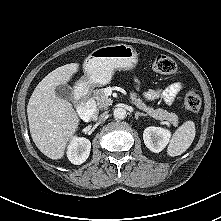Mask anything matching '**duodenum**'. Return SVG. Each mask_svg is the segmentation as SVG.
Listing matches in <instances>:
<instances>
[{
	"label": "duodenum",
	"instance_id": "duodenum-1",
	"mask_svg": "<svg viewBox=\"0 0 221 221\" xmlns=\"http://www.w3.org/2000/svg\"><path fill=\"white\" fill-rule=\"evenodd\" d=\"M79 114L84 120H90L97 115V109L95 102L85 97L79 105Z\"/></svg>",
	"mask_w": 221,
	"mask_h": 221
}]
</instances>
